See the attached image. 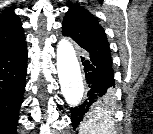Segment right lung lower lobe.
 I'll use <instances>...</instances> for the list:
<instances>
[{"label": "right lung lower lobe", "instance_id": "1", "mask_svg": "<svg viewBox=\"0 0 153 134\" xmlns=\"http://www.w3.org/2000/svg\"><path fill=\"white\" fill-rule=\"evenodd\" d=\"M26 71L25 41L0 54V134H16Z\"/></svg>", "mask_w": 153, "mask_h": 134}]
</instances>
